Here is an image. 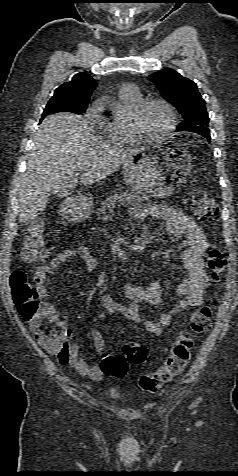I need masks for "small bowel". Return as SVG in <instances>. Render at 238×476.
<instances>
[{
	"label": "small bowel",
	"mask_w": 238,
	"mask_h": 476,
	"mask_svg": "<svg viewBox=\"0 0 238 476\" xmlns=\"http://www.w3.org/2000/svg\"><path fill=\"white\" fill-rule=\"evenodd\" d=\"M130 215L134 219H145L147 217L164 219L167 234L171 238L181 241L182 250L180 258L187 278L178 286L176 293L182 299L167 312L161 314L158 320H143L139 314V308L143 304H150L155 307L160 306L162 304V287L156 282L146 287L125 284L123 292L129 302L122 304L109 294L103 295L100 298L103 312L98 316L97 322L102 321L108 314L118 313L135 323L141 324L148 332L160 335L177 314L185 309L201 306L204 292L209 286V278L204 266V255L207 251L208 243L197 221L176 208L164 204H154L150 207L137 206L132 208ZM70 258L80 259L89 271H93L97 267V262L86 245L63 250L40 266L35 272V288L40 298L44 299L48 296V288L46 286L48 276ZM96 326L97 323L94 324L91 330L92 339L96 351L102 353L106 345ZM57 357L61 364H69L78 373L86 375L93 380H99L104 374L101 366L89 365L80 356L77 344L69 345L66 353L64 355H57Z\"/></svg>",
	"instance_id": "c3829d8e"
}]
</instances>
